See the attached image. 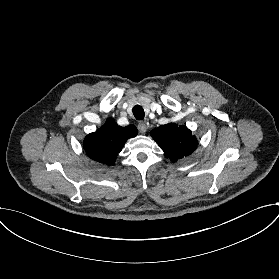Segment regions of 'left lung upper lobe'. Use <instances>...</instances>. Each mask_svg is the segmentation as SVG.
<instances>
[{
	"label": "left lung upper lobe",
	"mask_w": 279,
	"mask_h": 279,
	"mask_svg": "<svg viewBox=\"0 0 279 279\" xmlns=\"http://www.w3.org/2000/svg\"><path fill=\"white\" fill-rule=\"evenodd\" d=\"M152 138L173 162L195 151L198 141L185 125L169 123L151 131Z\"/></svg>",
	"instance_id": "obj_1"
}]
</instances>
